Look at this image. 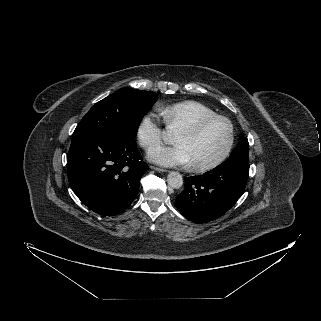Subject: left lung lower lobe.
Listing matches in <instances>:
<instances>
[{"mask_svg":"<svg viewBox=\"0 0 321 321\" xmlns=\"http://www.w3.org/2000/svg\"><path fill=\"white\" fill-rule=\"evenodd\" d=\"M249 176V157L229 159L203 176L186 179L175 206L187 219L206 223L224 215L244 193Z\"/></svg>","mask_w":321,"mask_h":321,"instance_id":"0a47b994","label":"left lung lower lobe"}]
</instances>
